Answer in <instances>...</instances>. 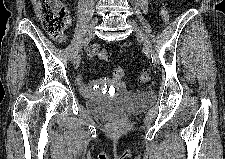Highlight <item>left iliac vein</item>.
Listing matches in <instances>:
<instances>
[{"label":"left iliac vein","instance_id":"obj_1","mask_svg":"<svg viewBox=\"0 0 225 159\" xmlns=\"http://www.w3.org/2000/svg\"><path fill=\"white\" fill-rule=\"evenodd\" d=\"M133 28H134V33L136 35V37L142 42V44L144 45V47L148 50V51H152V45L150 40L148 39L146 33L139 28L136 24H132Z\"/></svg>","mask_w":225,"mask_h":159}]
</instances>
